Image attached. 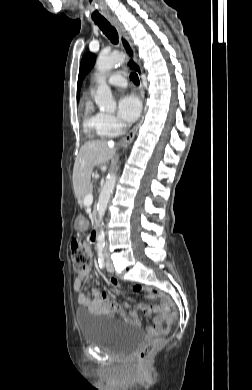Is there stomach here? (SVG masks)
Segmentation results:
<instances>
[{
	"label": "stomach",
	"instance_id": "0dacf381",
	"mask_svg": "<svg viewBox=\"0 0 252 390\" xmlns=\"http://www.w3.org/2000/svg\"><path fill=\"white\" fill-rule=\"evenodd\" d=\"M84 226H85L84 218H83V217H79V218H78V221H77L76 228H77L78 230H81V229H83Z\"/></svg>",
	"mask_w": 252,
	"mask_h": 390
}]
</instances>
